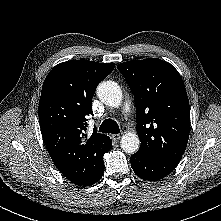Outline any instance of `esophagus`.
Instances as JSON below:
<instances>
[{
	"label": "esophagus",
	"mask_w": 221,
	"mask_h": 221,
	"mask_svg": "<svg viewBox=\"0 0 221 221\" xmlns=\"http://www.w3.org/2000/svg\"><path fill=\"white\" fill-rule=\"evenodd\" d=\"M113 140L118 141L121 138V134L112 135Z\"/></svg>",
	"instance_id": "esophagus-1"
}]
</instances>
